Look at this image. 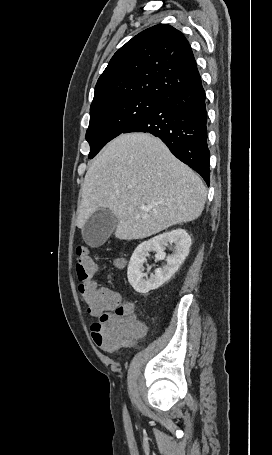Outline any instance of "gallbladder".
<instances>
[{
  "label": "gallbladder",
  "mask_w": 272,
  "mask_h": 455,
  "mask_svg": "<svg viewBox=\"0 0 272 455\" xmlns=\"http://www.w3.org/2000/svg\"><path fill=\"white\" fill-rule=\"evenodd\" d=\"M117 225L116 216L106 208L95 211L82 228L84 241L92 247L102 245L113 233Z\"/></svg>",
  "instance_id": "obj_1"
}]
</instances>
